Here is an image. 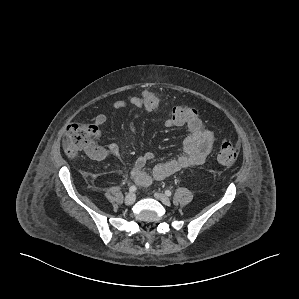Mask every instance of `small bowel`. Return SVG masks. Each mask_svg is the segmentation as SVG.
<instances>
[{"label":"small bowel","instance_id":"obj_1","mask_svg":"<svg viewBox=\"0 0 299 299\" xmlns=\"http://www.w3.org/2000/svg\"><path fill=\"white\" fill-rule=\"evenodd\" d=\"M129 106L133 107L135 118L140 117L146 111L140 96H132L129 100H116L112 104L114 109H125ZM106 122V115L99 114L94 118L93 126L98 128ZM164 126L178 127L168 118L164 120ZM186 128L188 135L183 140V150L177 158L155 165L150 174L146 171V166L154 159L153 153L147 152L136 159L131 171L134 182L146 186L153 180H163L184 168L197 166L205 161L213 146L214 133L203 125L199 117L186 125ZM130 132L135 134V128L130 127ZM119 153V146L111 143L107 148H97L89 154L94 159L102 160L108 156H118Z\"/></svg>","mask_w":299,"mask_h":299}]
</instances>
